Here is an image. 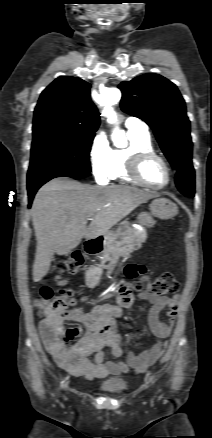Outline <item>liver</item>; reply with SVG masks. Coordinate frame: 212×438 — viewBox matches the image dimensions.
I'll use <instances>...</instances> for the list:
<instances>
[{
  "label": "liver",
  "instance_id": "liver-1",
  "mask_svg": "<svg viewBox=\"0 0 212 438\" xmlns=\"http://www.w3.org/2000/svg\"><path fill=\"white\" fill-rule=\"evenodd\" d=\"M158 196L129 186H91L66 178L46 183L31 210L37 241L33 281L39 282L48 273L54 253H70L82 238L106 236L139 205ZM89 217L93 220L87 226Z\"/></svg>",
  "mask_w": 212,
  "mask_h": 438
}]
</instances>
